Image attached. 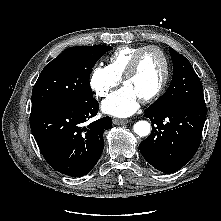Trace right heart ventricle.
Returning <instances> with one entry per match:
<instances>
[{"instance_id": "right-heart-ventricle-1", "label": "right heart ventricle", "mask_w": 221, "mask_h": 221, "mask_svg": "<svg viewBox=\"0 0 221 221\" xmlns=\"http://www.w3.org/2000/svg\"><path fill=\"white\" fill-rule=\"evenodd\" d=\"M144 46H123L114 51L111 57L108 59V70L118 79H121L127 70L133 56Z\"/></svg>"}]
</instances>
